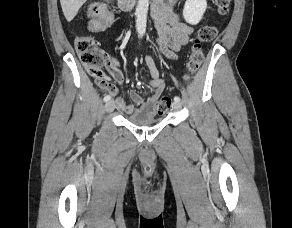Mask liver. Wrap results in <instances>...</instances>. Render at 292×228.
Here are the masks:
<instances>
[{"label":"liver","mask_w":292,"mask_h":228,"mask_svg":"<svg viewBox=\"0 0 292 228\" xmlns=\"http://www.w3.org/2000/svg\"><path fill=\"white\" fill-rule=\"evenodd\" d=\"M86 1L87 0H60L64 16L68 22L73 20Z\"/></svg>","instance_id":"liver-1"}]
</instances>
